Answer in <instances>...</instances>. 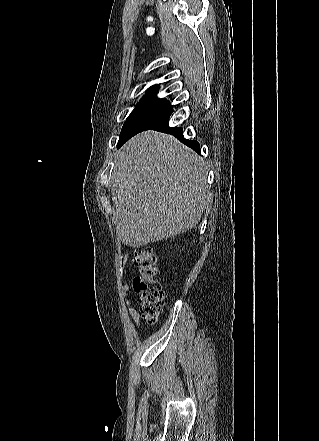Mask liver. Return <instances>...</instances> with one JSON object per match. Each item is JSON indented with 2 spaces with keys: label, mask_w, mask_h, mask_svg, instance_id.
<instances>
[{
  "label": "liver",
  "mask_w": 319,
  "mask_h": 441,
  "mask_svg": "<svg viewBox=\"0 0 319 441\" xmlns=\"http://www.w3.org/2000/svg\"><path fill=\"white\" fill-rule=\"evenodd\" d=\"M115 163L112 202L127 246L192 229L210 204L206 164L171 135L139 133L121 147Z\"/></svg>",
  "instance_id": "6515ba94"
}]
</instances>
